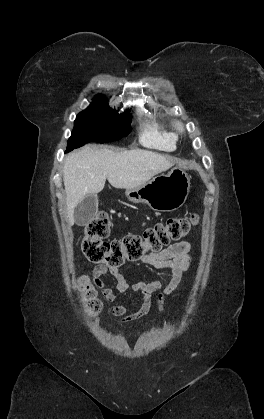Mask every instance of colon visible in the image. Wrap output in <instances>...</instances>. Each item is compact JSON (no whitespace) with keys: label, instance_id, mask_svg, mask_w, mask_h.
<instances>
[{"label":"colon","instance_id":"colon-1","mask_svg":"<svg viewBox=\"0 0 264 419\" xmlns=\"http://www.w3.org/2000/svg\"><path fill=\"white\" fill-rule=\"evenodd\" d=\"M197 221L196 215L169 218L164 223L145 229L142 234H130L122 239L105 241L111 224L106 214H99L85 226L81 250L91 263L119 268L126 261L141 260L146 254L159 252L171 241L183 238ZM80 289L87 311L91 315L98 314L102 309V302L91 280L83 277L80 280Z\"/></svg>","mask_w":264,"mask_h":419}]
</instances>
